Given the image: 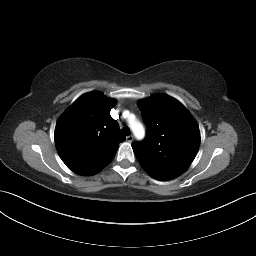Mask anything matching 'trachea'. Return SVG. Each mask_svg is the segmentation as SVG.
Listing matches in <instances>:
<instances>
[{
  "label": "trachea",
  "mask_w": 256,
  "mask_h": 256,
  "mask_svg": "<svg viewBox=\"0 0 256 256\" xmlns=\"http://www.w3.org/2000/svg\"><path fill=\"white\" fill-rule=\"evenodd\" d=\"M122 133L126 136H129L130 135V129L127 126H125V127L122 128Z\"/></svg>",
  "instance_id": "3493384b"
}]
</instances>
